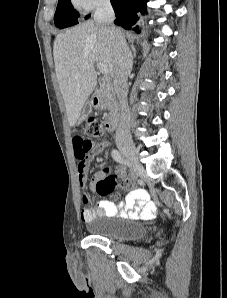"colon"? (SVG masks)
<instances>
[{
  "label": "colon",
  "instance_id": "obj_1",
  "mask_svg": "<svg viewBox=\"0 0 227 298\" xmlns=\"http://www.w3.org/2000/svg\"><path fill=\"white\" fill-rule=\"evenodd\" d=\"M83 134L85 135V138L82 139V142H92L87 137H91V138L103 137L105 135L104 125L99 119L90 118L83 128ZM77 159H84V158H77ZM117 187L124 188V189H134L135 184L127 178H122L108 172H104L103 176L98 180H96L95 182V189L97 193L100 195L111 194Z\"/></svg>",
  "mask_w": 227,
  "mask_h": 298
}]
</instances>
